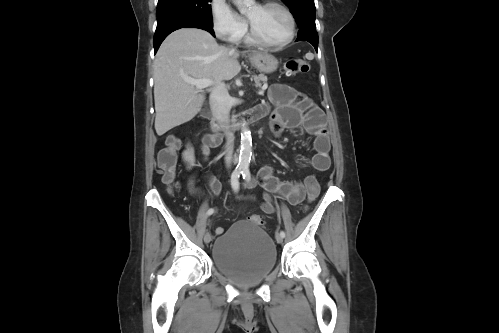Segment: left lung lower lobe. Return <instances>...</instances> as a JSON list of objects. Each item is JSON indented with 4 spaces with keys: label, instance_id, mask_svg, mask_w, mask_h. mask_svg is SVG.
<instances>
[{
    "label": "left lung lower lobe",
    "instance_id": "obj_1",
    "mask_svg": "<svg viewBox=\"0 0 499 333\" xmlns=\"http://www.w3.org/2000/svg\"><path fill=\"white\" fill-rule=\"evenodd\" d=\"M296 41H308L314 46L316 51L318 49V34L314 28H300Z\"/></svg>",
    "mask_w": 499,
    "mask_h": 333
}]
</instances>
